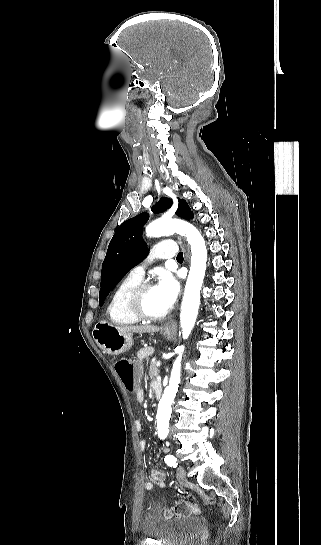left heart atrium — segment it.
Segmentation results:
<instances>
[{
  "label": "left heart atrium",
  "instance_id": "obj_1",
  "mask_svg": "<svg viewBox=\"0 0 321 545\" xmlns=\"http://www.w3.org/2000/svg\"><path fill=\"white\" fill-rule=\"evenodd\" d=\"M154 290L166 309L170 310L180 294V283L170 272L161 271Z\"/></svg>",
  "mask_w": 321,
  "mask_h": 545
}]
</instances>
